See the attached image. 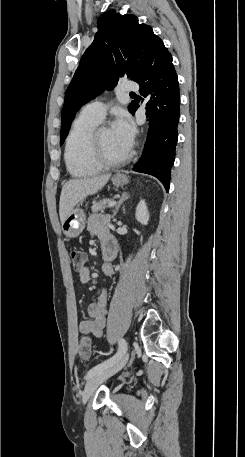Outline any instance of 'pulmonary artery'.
<instances>
[{
    "label": "pulmonary artery",
    "mask_w": 245,
    "mask_h": 457,
    "mask_svg": "<svg viewBox=\"0 0 245 457\" xmlns=\"http://www.w3.org/2000/svg\"><path fill=\"white\" fill-rule=\"evenodd\" d=\"M120 85V95H131L132 90H141L143 86L141 81L136 80H125L121 82ZM105 113L106 108L103 103L92 102L82 107L80 115H85L101 120L104 117Z\"/></svg>",
    "instance_id": "obj_1"
}]
</instances>
